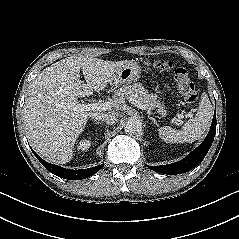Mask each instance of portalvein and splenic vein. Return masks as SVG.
I'll use <instances>...</instances> for the list:
<instances>
[{
  "instance_id": "obj_1",
  "label": "portal vein and splenic vein",
  "mask_w": 239,
  "mask_h": 239,
  "mask_svg": "<svg viewBox=\"0 0 239 239\" xmlns=\"http://www.w3.org/2000/svg\"><path fill=\"white\" fill-rule=\"evenodd\" d=\"M130 103L136 106L137 108H140L142 110H146V107L142 105L141 103L137 102L134 99H130ZM111 103L110 102H98V103H88V104H77L75 106V110L80 111H107L111 109ZM182 118V115H178L177 122H180V119Z\"/></svg>"
}]
</instances>
